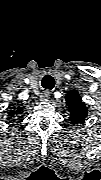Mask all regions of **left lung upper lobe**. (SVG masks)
Masks as SVG:
<instances>
[{"label": "left lung upper lobe", "instance_id": "left-lung-upper-lobe-1", "mask_svg": "<svg viewBox=\"0 0 101 180\" xmlns=\"http://www.w3.org/2000/svg\"><path fill=\"white\" fill-rule=\"evenodd\" d=\"M66 101L70 112L69 120L74 124L83 122L88 115V110L78 92L76 90L69 91L66 94Z\"/></svg>", "mask_w": 101, "mask_h": 180}]
</instances>
